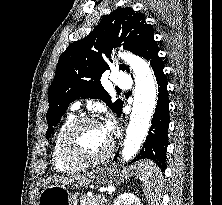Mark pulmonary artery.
Here are the masks:
<instances>
[{"mask_svg":"<svg viewBox=\"0 0 222 205\" xmlns=\"http://www.w3.org/2000/svg\"><path fill=\"white\" fill-rule=\"evenodd\" d=\"M114 85L117 89H126L131 85V76L126 73H116L113 79ZM81 107V101H75L71 105V110L77 111Z\"/></svg>","mask_w":222,"mask_h":205,"instance_id":"pulmonary-artery-1","label":"pulmonary artery"}]
</instances>
